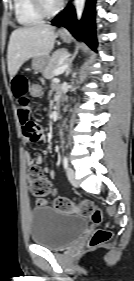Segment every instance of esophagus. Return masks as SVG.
Masks as SVG:
<instances>
[{
  "mask_svg": "<svg viewBox=\"0 0 134 281\" xmlns=\"http://www.w3.org/2000/svg\"><path fill=\"white\" fill-rule=\"evenodd\" d=\"M59 32H67L66 28H61Z\"/></svg>",
  "mask_w": 134,
  "mask_h": 281,
  "instance_id": "obj_1",
  "label": "esophagus"
}]
</instances>
